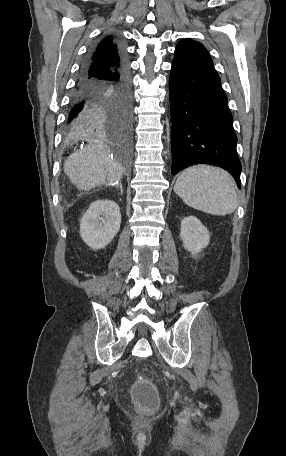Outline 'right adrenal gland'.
<instances>
[{
    "label": "right adrenal gland",
    "instance_id": "2a0ac1e0",
    "mask_svg": "<svg viewBox=\"0 0 286 456\" xmlns=\"http://www.w3.org/2000/svg\"><path fill=\"white\" fill-rule=\"evenodd\" d=\"M120 191H121V194H123V188H122L121 184H120Z\"/></svg>",
    "mask_w": 286,
    "mask_h": 456
}]
</instances>
